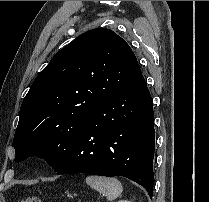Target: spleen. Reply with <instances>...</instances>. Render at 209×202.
Listing matches in <instances>:
<instances>
[{"mask_svg":"<svg viewBox=\"0 0 209 202\" xmlns=\"http://www.w3.org/2000/svg\"><path fill=\"white\" fill-rule=\"evenodd\" d=\"M87 185L106 196L108 201L119 197L123 191L122 184L116 178L87 176Z\"/></svg>","mask_w":209,"mask_h":202,"instance_id":"3e777b00","label":"spleen"}]
</instances>
